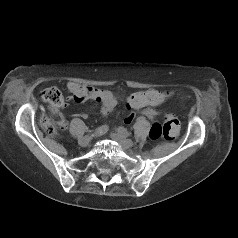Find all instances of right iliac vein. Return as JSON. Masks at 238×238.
I'll return each mask as SVG.
<instances>
[{"mask_svg":"<svg viewBox=\"0 0 238 238\" xmlns=\"http://www.w3.org/2000/svg\"><path fill=\"white\" fill-rule=\"evenodd\" d=\"M91 141H92V137L91 136H85V137H83L81 139L80 145L84 146V147L89 146Z\"/></svg>","mask_w":238,"mask_h":238,"instance_id":"1","label":"right iliac vein"}]
</instances>
